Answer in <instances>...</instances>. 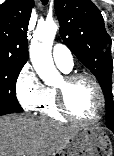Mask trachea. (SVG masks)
Returning <instances> with one entry per match:
<instances>
[{
  "mask_svg": "<svg viewBox=\"0 0 114 156\" xmlns=\"http://www.w3.org/2000/svg\"><path fill=\"white\" fill-rule=\"evenodd\" d=\"M44 5L48 3L49 0H41Z\"/></svg>",
  "mask_w": 114,
  "mask_h": 156,
  "instance_id": "3493384b",
  "label": "trachea"
}]
</instances>
